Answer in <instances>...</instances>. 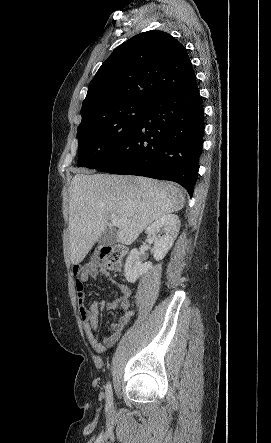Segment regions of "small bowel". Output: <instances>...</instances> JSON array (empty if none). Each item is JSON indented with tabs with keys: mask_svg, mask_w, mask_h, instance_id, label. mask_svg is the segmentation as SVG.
<instances>
[{
	"mask_svg": "<svg viewBox=\"0 0 271 443\" xmlns=\"http://www.w3.org/2000/svg\"><path fill=\"white\" fill-rule=\"evenodd\" d=\"M73 275L76 277L77 305L87 340L94 350L103 352L117 342L124 328L135 315V311L130 309L131 289L126 284L118 283L120 297L106 302V308L108 310L120 308L122 312L118 320L111 324L112 333L99 339L96 336L99 326V303L92 301L90 306L86 307L84 284L90 279H97L100 276L110 278V274L104 267L90 263L83 268L75 265Z\"/></svg>",
	"mask_w": 271,
	"mask_h": 443,
	"instance_id": "obj_1",
	"label": "small bowel"
}]
</instances>
